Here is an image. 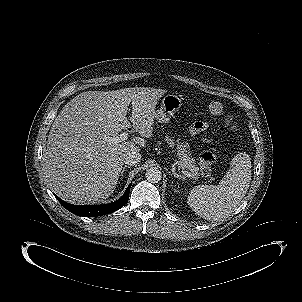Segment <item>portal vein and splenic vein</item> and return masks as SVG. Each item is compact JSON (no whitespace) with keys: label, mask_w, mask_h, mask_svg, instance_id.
<instances>
[{"label":"portal vein and splenic vein","mask_w":302,"mask_h":302,"mask_svg":"<svg viewBox=\"0 0 302 302\" xmlns=\"http://www.w3.org/2000/svg\"><path fill=\"white\" fill-rule=\"evenodd\" d=\"M129 136V133L128 132H123L121 133L119 136H116V137H110L108 139V143L109 144H117V143H120V142H123L125 140H127ZM183 174L186 176V177H190V178H193V175L188 172V171H183Z\"/></svg>","instance_id":"1"}]
</instances>
